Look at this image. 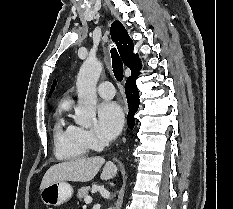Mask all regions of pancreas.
Returning a JSON list of instances; mask_svg holds the SVG:
<instances>
[{
    "label": "pancreas",
    "mask_w": 233,
    "mask_h": 209,
    "mask_svg": "<svg viewBox=\"0 0 233 209\" xmlns=\"http://www.w3.org/2000/svg\"><path fill=\"white\" fill-rule=\"evenodd\" d=\"M90 187L89 186H85L82 187L78 190L77 192V197L81 200L82 198H85L86 196H88V192H89Z\"/></svg>",
    "instance_id": "obj_1"
}]
</instances>
